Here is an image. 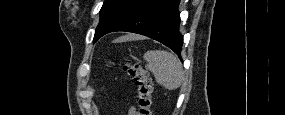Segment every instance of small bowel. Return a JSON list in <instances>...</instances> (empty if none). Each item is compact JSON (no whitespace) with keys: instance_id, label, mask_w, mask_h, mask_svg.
I'll list each match as a JSON object with an SVG mask.
<instances>
[{"instance_id":"c3829d8e","label":"small bowel","mask_w":285,"mask_h":115,"mask_svg":"<svg viewBox=\"0 0 285 115\" xmlns=\"http://www.w3.org/2000/svg\"><path fill=\"white\" fill-rule=\"evenodd\" d=\"M128 114H129V115H137L138 113H137L136 109H135L134 107H132V108L129 110Z\"/></svg>"}]
</instances>
